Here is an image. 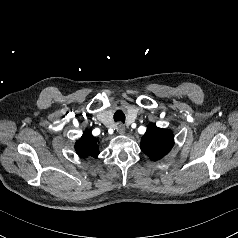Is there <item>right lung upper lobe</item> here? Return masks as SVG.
<instances>
[{"label": "right lung upper lobe", "mask_w": 238, "mask_h": 238, "mask_svg": "<svg viewBox=\"0 0 238 238\" xmlns=\"http://www.w3.org/2000/svg\"><path fill=\"white\" fill-rule=\"evenodd\" d=\"M97 142L98 139L93 137L90 132L86 131L76 142L75 150L81 157L97 158L100 153Z\"/></svg>", "instance_id": "obj_1"}]
</instances>
